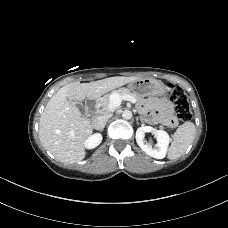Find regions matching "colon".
<instances>
[{"label":"colon","instance_id":"obj_1","mask_svg":"<svg viewBox=\"0 0 228 228\" xmlns=\"http://www.w3.org/2000/svg\"><path fill=\"white\" fill-rule=\"evenodd\" d=\"M170 100L175 106V116L168 119L170 126H176L179 122L188 121L191 118L189 98L186 92L179 86L167 84Z\"/></svg>","mask_w":228,"mask_h":228}]
</instances>
